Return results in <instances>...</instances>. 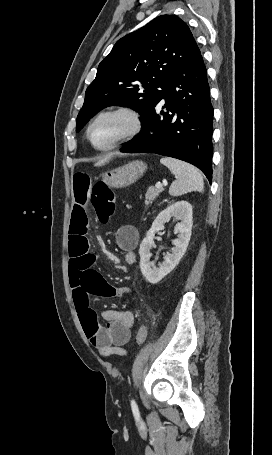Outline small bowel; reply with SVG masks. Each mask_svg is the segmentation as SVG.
<instances>
[{"label": "small bowel", "instance_id": "c3829d8e", "mask_svg": "<svg viewBox=\"0 0 272 455\" xmlns=\"http://www.w3.org/2000/svg\"><path fill=\"white\" fill-rule=\"evenodd\" d=\"M93 181L90 174L79 171L73 177L74 207L69 229V278L73 290V300L82 328L91 344L103 357L126 356L124 345L131 338L134 314L128 310H105L106 325L101 326L97 314L91 308V295L103 298H116L130 295L129 288L118 289L110 285L93 266L95 255L90 251L87 238L89 218L87 203L92 193ZM139 234L132 225H123L115 233L117 247L123 252L128 265L136 262L135 249ZM122 352L125 355H122Z\"/></svg>", "mask_w": 272, "mask_h": 455}]
</instances>
